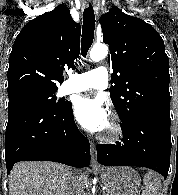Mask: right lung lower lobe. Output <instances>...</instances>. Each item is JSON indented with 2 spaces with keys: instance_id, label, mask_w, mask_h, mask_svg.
Wrapping results in <instances>:
<instances>
[{
  "instance_id": "1",
  "label": "right lung lower lobe",
  "mask_w": 178,
  "mask_h": 195,
  "mask_svg": "<svg viewBox=\"0 0 178 195\" xmlns=\"http://www.w3.org/2000/svg\"><path fill=\"white\" fill-rule=\"evenodd\" d=\"M8 112L7 174L14 163L26 160L55 161L77 168L89 166V141L75 124L71 103L59 109L20 105Z\"/></svg>"
}]
</instances>
